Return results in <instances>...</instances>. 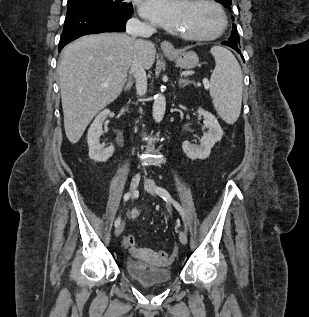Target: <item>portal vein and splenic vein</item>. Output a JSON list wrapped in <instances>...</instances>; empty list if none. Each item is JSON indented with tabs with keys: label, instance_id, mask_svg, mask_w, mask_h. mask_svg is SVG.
<instances>
[{
	"label": "portal vein and splenic vein",
	"instance_id": "obj_1",
	"mask_svg": "<svg viewBox=\"0 0 309 317\" xmlns=\"http://www.w3.org/2000/svg\"><path fill=\"white\" fill-rule=\"evenodd\" d=\"M203 84H204L205 88H208V87H209V82H208L207 79H204V80H203Z\"/></svg>",
	"mask_w": 309,
	"mask_h": 317
}]
</instances>
